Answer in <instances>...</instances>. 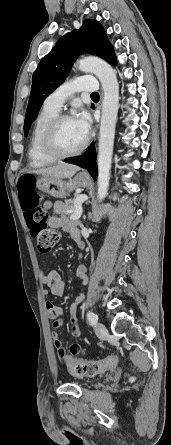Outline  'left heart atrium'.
Here are the masks:
<instances>
[{"label": "left heart atrium", "mask_w": 171, "mask_h": 445, "mask_svg": "<svg viewBox=\"0 0 171 445\" xmlns=\"http://www.w3.org/2000/svg\"><path fill=\"white\" fill-rule=\"evenodd\" d=\"M76 121H77L78 125L80 126L82 132L87 136L89 134L90 128H91L90 116L85 111H82L76 117Z\"/></svg>", "instance_id": "1"}]
</instances>
